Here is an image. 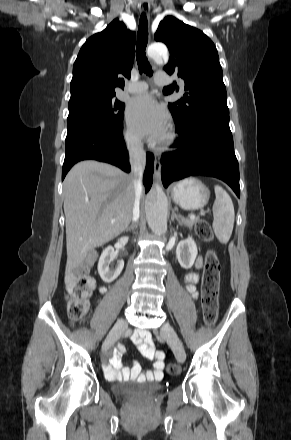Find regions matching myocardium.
<instances>
[{"instance_id":"f54148a6","label":"myocardium","mask_w":291,"mask_h":440,"mask_svg":"<svg viewBox=\"0 0 291 440\" xmlns=\"http://www.w3.org/2000/svg\"><path fill=\"white\" fill-rule=\"evenodd\" d=\"M173 140H174V134L167 133L159 142L158 147L161 149L167 148L168 146H170L173 143Z\"/></svg>"}]
</instances>
